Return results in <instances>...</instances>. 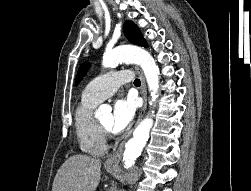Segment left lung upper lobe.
Listing matches in <instances>:
<instances>
[{
	"label": "left lung upper lobe",
	"instance_id": "5c2ea615",
	"mask_svg": "<svg viewBox=\"0 0 251 191\" xmlns=\"http://www.w3.org/2000/svg\"><path fill=\"white\" fill-rule=\"evenodd\" d=\"M124 34L131 43L147 47V43L143 38L141 31L133 22L126 21L124 23ZM87 69L88 64L84 63L81 65L77 73L76 84H78L82 77L86 74Z\"/></svg>",
	"mask_w": 251,
	"mask_h": 191
}]
</instances>
